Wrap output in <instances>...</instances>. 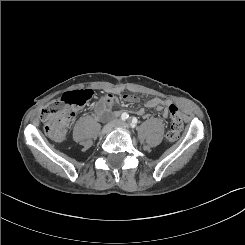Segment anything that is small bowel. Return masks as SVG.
Wrapping results in <instances>:
<instances>
[{"label":"small bowel","mask_w":245,"mask_h":245,"mask_svg":"<svg viewBox=\"0 0 245 245\" xmlns=\"http://www.w3.org/2000/svg\"><path fill=\"white\" fill-rule=\"evenodd\" d=\"M123 101L127 104H135L138 102V97L134 95H124ZM118 103V99L113 95H106L100 98L94 106V116L98 119L105 118L113 109V107ZM170 104L168 100H164L159 97L150 98L145 102L147 108L155 109L162 112L165 117H167V107ZM137 113L141 116L147 117L144 109H139Z\"/></svg>","instance_id":"c3829d8e"}]
</instances>
